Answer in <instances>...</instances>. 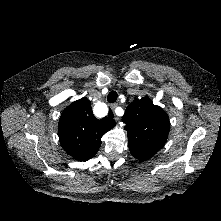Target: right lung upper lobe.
I'll list each match as a JSON object with an SVG mask.
<instances>
[{
	"instance_id": "1",
	"label": "right lung upper lobe",
	"mask_w": 221,
	"mask_h": 221,
	"mask_svg": "<svg viewBox=\"0 0 221 221\" xmlns=\"http://www.w3.org/2000/svg\"><path fill=\"white\" fill-rule=\"evenodd\" d=\"M115 121L109 117L97 119L91 102L85 98L69 105L59 119L58 134L67 154L79 161H87L96 155L101 137L112 129Z\"/></svg>"
}]
</instances>
